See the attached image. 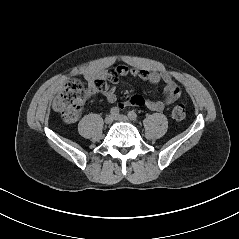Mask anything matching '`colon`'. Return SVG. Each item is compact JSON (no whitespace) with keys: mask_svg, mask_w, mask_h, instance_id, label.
I'll list each match as a JSON object with an SVG mask.
<instances>
[{"mask_svg":"<svg viewBox=\"0 0 239 239\" xmlns=\"http://www.w3.org/2000/svg\"><path fill=\"white\" fill-rule=\"evenodd\" d=\"M107 79H99L96 86L99 90L105 88ZM85 84L77 78L69 79L62 92L54 101V109L59 112L66 122H75L81 116L84 101L89 93ZM186 108L184 105H176L172 110V117L177 121L184 119Z\"/></svg>","mask_w":239,"mask_h":239,"instance_id":"obj_1","label":"colon"}]
</instances>
